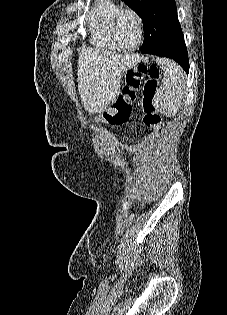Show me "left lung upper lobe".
Here are the masks:
<instances>
[{
    "mask_svg": "<svg viewBox=\"0 0 227 315\" xmlns=\"http://www.w3.org/2000/svg\"><path fill=\"white\" fill-rule=\"evenodd\" d=\"M144 24V44L154 48L174 45L184 40L177 17L175 0H122Z\"/></svg>",
    "mask_w": 227,
    "mask_h": 315,
    "instance_id": "left-lung-upper-lobe-1",
    "label": "left lung upper lobe"
}]
</instances>
